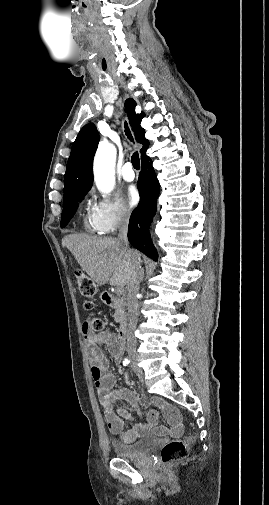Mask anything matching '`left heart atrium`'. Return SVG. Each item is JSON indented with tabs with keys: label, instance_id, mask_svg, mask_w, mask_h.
I'll list each match as a JSON object with an SVG mask.
<instances>
[{
	"label": "left heart atrium",
	"instance_id": "39dd6f15",
	"mask_svg": "<svg viewBox=\"0 0 269 505\" xmlns=\"http://www.w3.org/2000/svg\"><path fill=\"white\" fill-rule=\"evenodd\" d=\"M126 199L128 204L133 207L135 206L138 201H139V193L136 187L134 186H129L126 191Z\"/></svg>",
	"mask_w": 269,
	"mask_h": 505
}]
</instances>
